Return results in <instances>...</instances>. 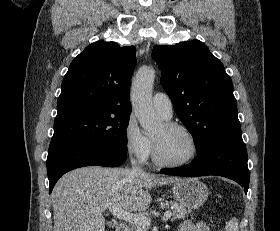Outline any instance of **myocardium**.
I'll use <instances>...</instances> for the list:
<instances>
[{
	"instance_id": "obj_1",
	"label": "myocardium",
	"mask_w": 280,
	"mask_h": 231,
	"mask_svg": "<svg viewBox=\"0 0 280 231\" xmlns=\"http://www.w3.org/2000/svg\"><path fill=\"white\" fill-rule=\"evenodd\" d=\"M165 124L169 128H172V129H175L178 131H182L185 134H187L193 143V152L188 158H186L184 160L169 161V160L164 159L160 155L157 145L154 141V159H155L156 163L163 167H182V166L188 165L191 162H193L197 158V156L199 154V150H200V145H199V141H198L196 134L189 127H187L183 124H180V123L167 121Z\"/></svg>"
}]
</instances>
